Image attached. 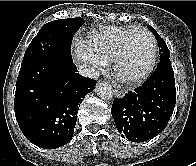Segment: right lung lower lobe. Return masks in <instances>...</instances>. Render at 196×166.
<instances>
[{"mask_svg":"<svg viewBox=\"0 0 196 166\" xmlns=\"http://www.w3.org/2000/svg\"><path fill=\"white\" fill-rule=\"evenodd\" d=\"M73 60L39 56L22 62L15 91V116L25 137L54 149L73 137L83 97L96 81L77 73Z\"/></svg>","mask_w":196,"mask_h":166,"instance_id":"obj_1","label":"right lung lower lobe"}]
</instances>
